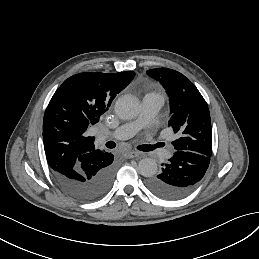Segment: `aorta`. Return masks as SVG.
Masks as SVG:
<instances>
[{"label": "aorta", "instance_id": "aorta-1", "mask_svg": "<svg viewBox=\"0 0 259 259\" xmlns=\"http://www.w3.org/2000/svg\"><path fill=\"white\" fill-rule=\"evenodd\" d=\"M115 113L124 120H130L139 113V101L137 98L125 95L117 99ZM138 172L144 177H152L157 172V163L152 158H143L138 163Z\"/></svg>", "mask_w": 259, "mask_h": 259}]
</instances>
